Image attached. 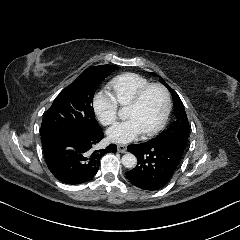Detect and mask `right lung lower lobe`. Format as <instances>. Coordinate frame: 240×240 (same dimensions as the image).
<instances>
[{
    "label": "right lung lower lobe",
    "instance_id": "obj_1",
    "mask_svg": "<svg viewBox=\"0 0 240 240\" xmlns=\"http://www.w3.org/2000/svg\"><path fill=\"white\" fill-rule=\"evenodd\" d=\"M103 139L102 130H74L57 132L41 138L46 164L62 183L82 184L93 178L99 169L101 157L116 152V145L95 150Z\"/></svg>",
    "mask_w": 240,
    "mask_h": 240
}]
</instances>
